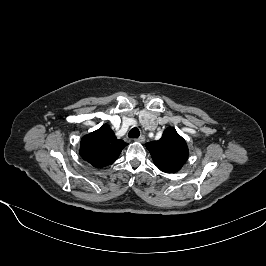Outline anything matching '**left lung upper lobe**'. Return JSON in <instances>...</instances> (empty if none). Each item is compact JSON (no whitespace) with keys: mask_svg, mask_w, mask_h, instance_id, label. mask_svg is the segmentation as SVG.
Segmentation results:
<instances>
[{"mask_svg":"<svg viewBox=\"0 0 266 266\" xmlns=\"http://www.w3.org/2000/svg\"><path fill=\"white\" fill-rule=\"evenodd\" d=\"M154 164L163 172L175 173L188 159V147L185 140L174 128H167L158 141L146 143Z\"/></svg>","mask_w":266,"mask_h":266,"instance_id":"obj_1","label":"left lung upper lobe"}]
</instances>
